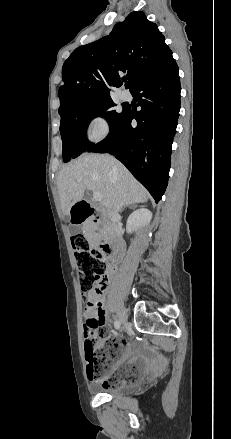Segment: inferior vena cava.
<instances>
[{
  "label": "inferior vena cava",
  "instance_id": "obj_1",
  "mask_svg": "<svg viewBox=\"0 0 231 439\" xmlns=\"http://www.w3.org/2000/svg\"><path fill=\"white\" fill-rule=\"evenodd\" d=\"M107 215L109 216V218H111V220H114L118 216L117 212H115L114 210L107 211Z\"/></svg>",
  "mask_w": 231,
  "mask_h": 439
}]
</instances>
